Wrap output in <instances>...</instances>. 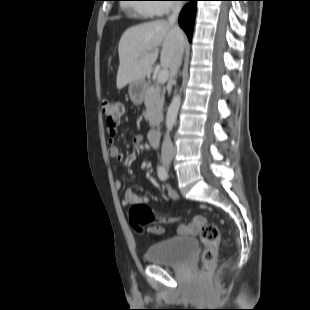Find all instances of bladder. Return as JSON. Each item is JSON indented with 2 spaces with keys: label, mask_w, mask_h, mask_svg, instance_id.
Instances as JSON below:
<instances>
[{
  "label": "bladder",
  "mask_w": 310,
  "mask_h": 310,
  "mask_svg": "<svg viewBox=\"0 0 310 310\" xmlns=\"http://www.w3.org/2000/svg\"><path fill=\"white\" fill-rule=\"evenodd\" d=\"M198 250V243L191 237H172L149 246L145 259L149 264L177 267L190 261Z\"/></svg>",
  "instance_id": "31cf9c89"
}]
</instances>
